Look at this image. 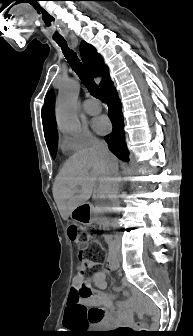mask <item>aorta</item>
<instances>
[{
    "instance_id": "obj_1",
    "label": "aorta",
    "mask_w": 193,
    "mask_h": 336,
    "mask_svg": "<svg viewBox=\"0 0 193 336\" xmlns=\"http://www.w3.org/2000/svg\"><path fill=\"white\" fill-rule=\"evenodd\" d=\"M79 90V83L75 79L63 80L60 84L56 106V120L62 132L74 133L80 128V121L76 110Z\"/></svg>"
}]
</instances>
